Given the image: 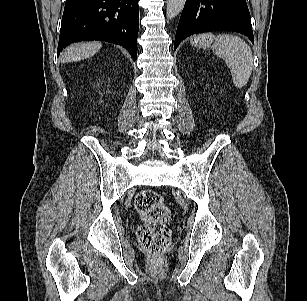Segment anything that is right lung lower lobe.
<instances>
[{
    "label": "right lung lower lobe",
    "instance_id": "98d812e1",
    "mask_svg": "<svg viewBox=\"0 0 307 301\" xmlns=\"http://www.w3.org/2000/svg\"><path fill=\"white\" fill-rule=\"evenodd\" d=\"M138 0H66L57 54L71 43L104 40L137 58Z\"/></svg>",
    "mask_w": 307,
    "mask_h": 301
}]
</instances>
